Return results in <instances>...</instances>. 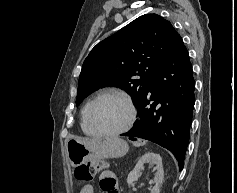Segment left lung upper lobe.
<instances>
[{
  "label": "left lung upper lobe",
  "instance_id": "5c2ea615",
  "mask_svg": "<svg viewBox=\"0 0 237 193\" xmlns=\"http://www.w3.org/2000/svg\"><path fill=\"white\" fill-rule=\"evenodd\" d=\"M182 41L172 24L145 14L98 43L85 59L79 76L76 105L96 89H124L135 106L155 75Z\"/></svg>",
  "mask_w": 237,
  "mask_h": 193
}]
</instances>
